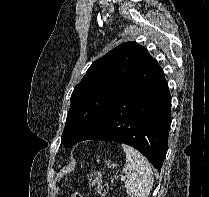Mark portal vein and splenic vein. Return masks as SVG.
I'll return each instance as SVG.
<instances>
[{
	"label": "portal vein and splenic vein",
	"instance_id": "obj_1",
	"mask_svg": "<svg viewBox=\"0 0 209 197\" xmlns=\"http://www.w3.org/2000/svg\"><path fill=\"white\" fill-rule=\"evenodd\" d=\"M121 180H123V181H124V180H125V177H124V176H122V177H121Z\"/></svg>",
	"mask_w": 209,
	"mask_h": 197
}]
</instances>
